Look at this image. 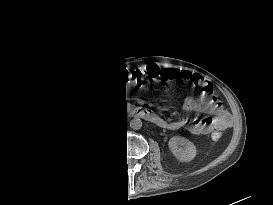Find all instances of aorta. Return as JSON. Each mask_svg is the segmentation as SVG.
Masks as SVG:
<instances>
[{
    "label": "aorta",
    "mask_w": 273,
    "mask_h": 205,
    "mask_svg": "<svg viewBox=\"0 0 273 205\" xmlns=\"http://www.w3.org/2000/svg\"><path fill=\"white\" fill-rule=\"evenodd\" d=\"M130 127L134 130H139L142 127V120L139 118H134L130 122Z\"/></svg>",
    "instance_id": "aorta-1"
}]
</instances>
